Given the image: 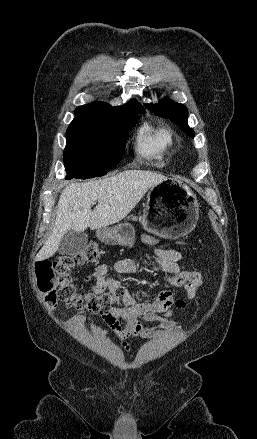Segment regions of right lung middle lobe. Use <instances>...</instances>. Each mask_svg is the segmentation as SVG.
<instances>
[{"instance_id":"right-lung-middle-lobe-1","label":"right lung middle lobe","mask_w":257,"mask_h":439,"mask_svg":"<svg viewBox=\"0 0 257 439\" xmlns=\"http://www.w3.org/2000/svg\"><path fill=\"white\" fill-rule=\"evenodd\" d=\"M138 113L119 120L74 118L67 130L64 150L66 179L103 176L120 161L129 130Z\"/></svg>"}]
</instances>
